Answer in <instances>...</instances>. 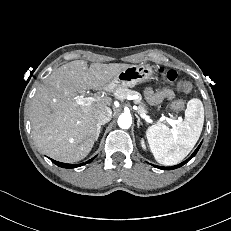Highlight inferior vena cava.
<instances>
[{"instance_id": "obj_1", "label": "inferior vena cava", "mask_w": 231, "mask_h": 231, "mask_svg": "<svg viewBox=\"0 0 231 231\" xmlns=\"http://www.w3.org/2000/svg\"><path fill=\"white\" fill-rule=\"evenodd\" d=\"M112 118V111L109 107L100 108L96 111L97 125L105 124Z\"/></svg>"}]
</instances>
